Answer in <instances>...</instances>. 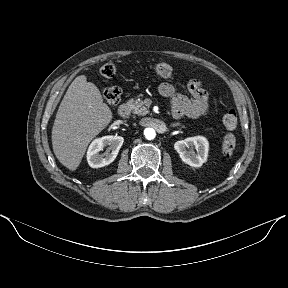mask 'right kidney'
Here are the masks:
<instances>
[{"instance_id": "right-kidney-1", "label": "right kidney", "mask_w": 288, "mask_h": 288, "mask_svg": "<svg viewBox=\"0 0 288 288\" xmlns=\"http://www.w3.org/2000/svg\"><path fill=\"white\" fill-rule=\"evenodd\" d=\"M124 142L121 136H104L95 139L89 146L87 151V161L90 167L100 168L112 163ZM104 147L106 152L99 154Z\"/></svg>"}]
</instances>
